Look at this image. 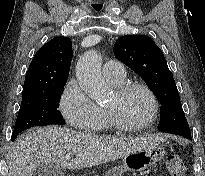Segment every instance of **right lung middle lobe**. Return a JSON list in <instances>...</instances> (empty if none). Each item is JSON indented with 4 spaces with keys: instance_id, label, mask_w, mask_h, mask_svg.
Wrapping results in <instances>:
<instances>
[{
    "instance_id": "dd1d6c3e",
    "label": "right lung middle lobe",
    "mask_w": 205,
    "mask_h": 176,
    "mask_svg": "<svg viewBox=\"0 0 205 176\" xmlns=\"http://www.w3.org/2000/svg\"><path fill=\"white\" fill-rule=\"evenodd\" d=\"M64 85L22 97L11 140L23 130L31 127L65 124L57 110L59 107L58 100L64 90Z\"/></svg>"
}]
</instances>
